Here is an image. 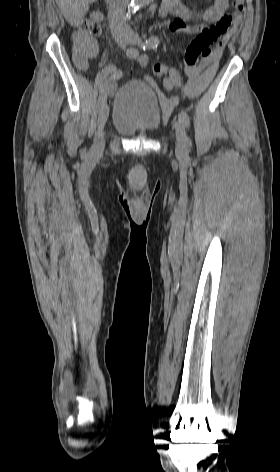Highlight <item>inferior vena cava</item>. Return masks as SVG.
Segmentation results:
<instances>
[{"label":"inferior vena cava","instance_id":"obj_1","mask_svg":"<svg viewBox=\"0 0 280 472\" xmlns=\"http://www.w3.org/2000/svg\"><path fill=\"white\" fill-rule=\"evenodd\" d=\"M129 0H111L109 8V25L113 34H116L118 30H124L126 27L125 23V11Z\"/></svg>","mask_w":280,"mask_h":472}]
</instances>
